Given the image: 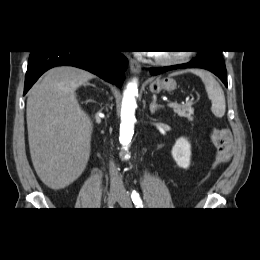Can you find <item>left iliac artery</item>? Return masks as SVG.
<instances>
[{"mask_svg": "<svg viewBox=\"0 0 260 260\" xmlns=\"http://www.w3.org/2000/svg\"><path fill=\"white\" fill-rule=\"evenodd\" d=\"M131 198H132V201L134 202L135 205L139 206V207H142V200L140 198V195L138 192L136 191H133L132 194H131Z\"/></svg>", "mask_w": 260, "mask_h": 260, "instance_id": "44dca946", "label": "left iliac artery"}]
</instances>
